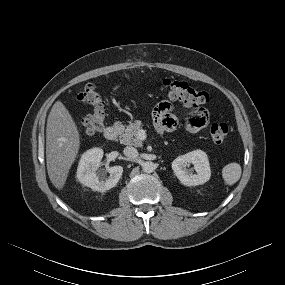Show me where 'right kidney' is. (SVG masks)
Listing matches in <instances>:
<instances>
[{"instance_id":"1","label":"right kidney","mask_w":285,"mask_h":285,"mask_svg":"<svg viewBox=\"0 0 285 285\" xmlns=\"http://www.w3.org/2000/svg\"><path fill=\"white\" fill-rule=\"evenodd\" d=\"M102 157V149H89L81 156L77 168L78 181L84 186L99 192H105L115 187L123 173V167L121 166H112L106 171L96 172ZM106 172L110 174L109 177H106Z\"/></svg>"}]
</instances>
